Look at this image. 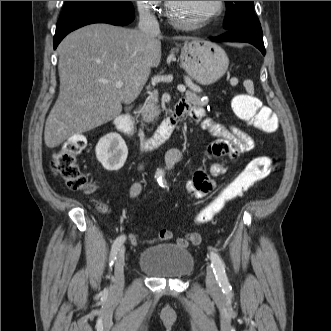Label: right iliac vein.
<instances>
[{
	"mask_svg": "<svg viewBox=\"0 0 331 331\" xmlns=\"http://www.w3.org/2000/svg\"><path fill=\"white\" fill-rule=\"evenodd\" d=\"M124 265H125V248L122 247L116 258L114 279H115V290L117 292L122 291L124 286Z\"/></svg>",
	"mask_w": 331,
	"mask_h": 331,
	"instance_id": "obj_1",
	"label": "right iliac vein"
}]
</instances>
